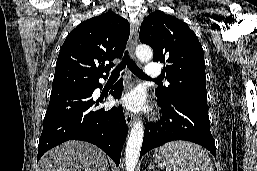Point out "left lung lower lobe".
<instances>
[{
	"label": "left lung lower lobe",
	"instance_id": "0a47b994",
	"mask_svg": "<svg viewBox=\"0 0 257 171\" xmlns=\"http://www.w3.org/2000/svg\"><path fill=\"white\" fill-rule=\"evenodd\" d=\"M157 102L162 108V118L146 125L140 158L149 150L174 140L200 144L215 156L207 103L184 98Z\"/></svg>",
	"mask_w": 257,
	"mask_h": 171
}]
</instances>
